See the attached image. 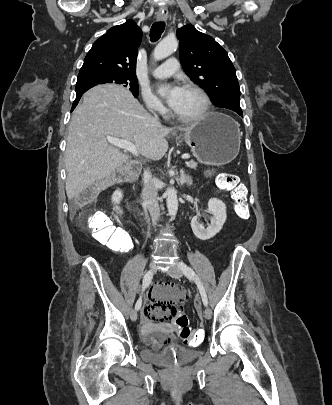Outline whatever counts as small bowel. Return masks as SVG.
Masks as SVG:
<instances>
[{"label": "small bowel", "mask_w": 332, "mask_h": 405, "mask_svg": "<svg viewBox=\"0 0 332 405\" xmlns=\"http://www.w3.org/2000/svg\"><path fill=\"white\" fill-rule=\"evenodd\" d=\"M186 288H166V286H154L148 295L142 317V342L150 344L152 349H172L179 346V339L175 334H169L173 329L171 323L166 320L170 311L181 310V306L187 300ZM198 308L199 300L195 301Z\"/></svg>", "instance_id": "small-bowel-1"}]
</instances>
